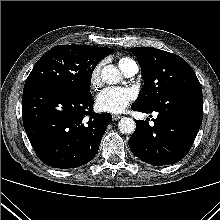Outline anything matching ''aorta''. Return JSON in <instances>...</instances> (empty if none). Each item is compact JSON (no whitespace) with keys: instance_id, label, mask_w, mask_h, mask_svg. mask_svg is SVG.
<instances>
[{"instance_id":"1","label":"aorta","mask_w":220,"mask_h":220,"mask_svg":"<svg viewBox=\"0 0 220 220\" xmlns=\"http://www.w3.org/2000/svg\"><path fill=\"white\" fill-rule=\"evenodd\" d=\"M102 81L109 84H117L121 80L120 71L113 65H106L101 70ZM118 128L123 134H132L135 131L136 125L132 118L124 117L118 123Z\"/></svg>"}]
</instances>
